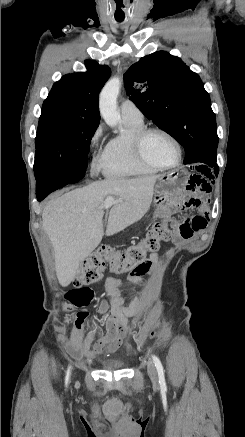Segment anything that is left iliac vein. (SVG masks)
I'll return each mask as SVG.
<instances>
[{
    "mask_svg": "<svg viewBox=\"0 0 245 437\" xmlns=\"http://www.w3.org/2000/svg\"><path fill=\"white\" fill-rule=\"evenodd\" d=\"M147 372L153 384H157V372L152 362H147Z\"/></svg>",
    "mask_w": 245,
    "mask_h": 437,
    "instance_id": "left-iliac-vein-1",
    "label": "left iliac vein"
}]
</instances>
